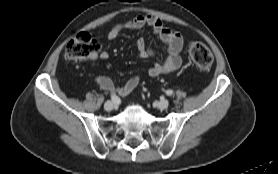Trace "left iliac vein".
Masks as SVG:
<instances>
[{
    "instance_id": "4c4485c4",
    "label": "left iliac vein",
    "mask_w": 278,
    "mask_h": 174,
    "mask_svg": "<svg viewBox=\"0 0 278 174\" xmlns=\"http://www.w3.org/2000/svg\"><path fill=\"white\" fill-rule=\"evenodd\" d=\"M156 106L158 109L164 110V109L168 108L169 101L166 99H163V100L157 102Z\"/></svg>"
}]
</instances>
